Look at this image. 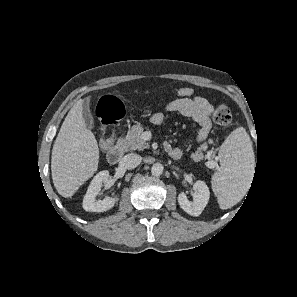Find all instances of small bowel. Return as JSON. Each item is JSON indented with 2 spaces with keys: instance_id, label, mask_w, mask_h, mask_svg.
<instances>
[{
  "instance_id": "1",
  "label": "small bowel",
  "mask_w": 297,
  "mask_h": 297,
  "mask_svg": "<svg viewBox=\"0 0 297 297\" xmlns=\"http://www.w3.org/2000/svg\"><path fill=\"white\" fill-rule=\"evenodd\" d=\"M213 108V105L206 98L192 96L190 98H177L169 102L166 105L165 110L178 113L181 116L194 120L199 126L194 140L196 144H200L206 139L211 129L212 124L210 114L212 113ZM150 121L154 125L160 126L164 123V115L162 113H155L151 116ZM190 140L191 139H188L186 143ZM164 149L173 159H179L183 154V146L174 147L166 142L164 144Z\"/></svg>"
}]
</instances>
